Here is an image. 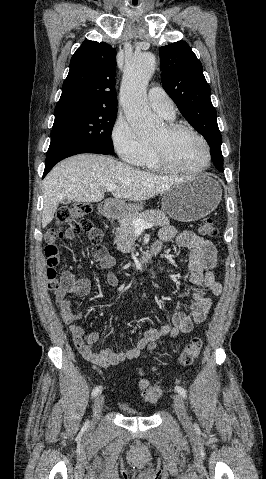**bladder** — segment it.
<instances>
[{
    "mask_svg": "<svg viewBox=\"0 0 266 479\" xmlns=\"http://www.w3.org/2000/svg\"><path fill=\"white\" fill-rule=\"evenodd\" d=\"M120 409L126 414V415H129V416H136L139 414V412H137L136 410L128 407L127 405L125 404H120Z\"/></svg>",
    "mask_w": 266,
    "mask_h": 479,
    "instance_id": "obj_1",
    "label": "bladder"
}]
</instances>
